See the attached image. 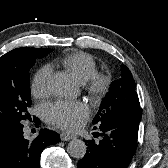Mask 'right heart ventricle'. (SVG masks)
Wrapping results in <instances>:
<instances>
[{"label":"right heart ventricle","mask_w":168,"mask_h":168,"mask_svg":"<svg viewBox=\"0 0 168 168\" xmlns=\"http://www.w3.org/2000/svg\"><path fill=\"white\" fill-rule=\"evenodd\" d=\"M60 63L81 83L88 81L97 72L95 59L85 52L69 53L60 60Z\"/></svg>","instance_id":"obj_1"}]
</instances>
